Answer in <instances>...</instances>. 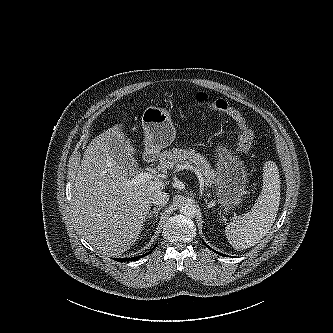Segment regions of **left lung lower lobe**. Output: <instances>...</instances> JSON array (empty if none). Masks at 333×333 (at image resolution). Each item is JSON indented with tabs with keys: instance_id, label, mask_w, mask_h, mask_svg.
Returning <instances> with one entry per match:
<instances>
[{
	"instance_id": "left-lung-lower-lobe-1",
	"label": "left lung lower lobe",
	"mask_w": 333,
	"mask_h": 333,
	"mask_svg": "<svg viewBox=\"0 0 333 333\" xmlns=\"http://www.w3.org/2000/svg\"><path fill=\"white\" fill-rule=\"evenodd\" d=\"M203 243L205 244V246L207 247V248H209V249H211L204 241H203ZM213 250V249H212ZM214 251V250H213ZM216 253H218L217 251H215ZM219 255H222V256H225L224 254H221V253H218Z\"/></svg>"
}]
</instances>
